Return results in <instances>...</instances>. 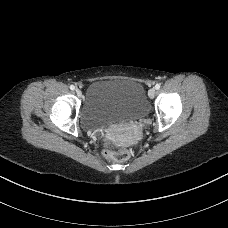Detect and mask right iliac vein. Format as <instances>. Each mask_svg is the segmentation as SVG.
<instances>
[{"label": "right iliac vein", "mask_w": 228, "mask_h": 228, "mask_svg": "<svg viewBox=\"0 0 228 228\" xmlns=\"http://www.w3.org/2000/svg\"><path fill=\"white\" fill-rule=\"evenodd\" d=\"M75 92H76L77 96H79V97L82 96V92H81L80 89L77 88V89L75 90Z\"/></svg>", "instance_id": "obj_1"}]
</instances>
